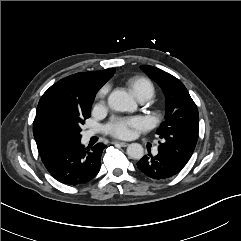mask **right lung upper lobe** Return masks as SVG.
Instances as JSON below:
<instances>
[{
  "label": "right lung upper lobe",
  "instance_id": "cb5924a9",
  "mask_svg": "<svg viewBox=\"0 0 241 241\" xmlns=\"http://www.w3.org/2000/svg\"><path fill=\"white\" fill-rule=\"evenodd\" d=\"M114 68L76 73L52 85L41 97L33 122V134L40 149V124L53 110L82 112L92 105L97 91L111 78ZM40 154H43L39 151Z\"/></svg>",
  "mask_w": 241,
  "mask_h": 241
}]
</instances>
